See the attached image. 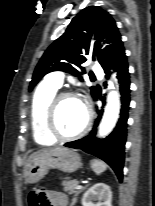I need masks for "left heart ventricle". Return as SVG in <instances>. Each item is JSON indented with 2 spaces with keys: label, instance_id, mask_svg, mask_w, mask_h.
<instances>
[{
  "label": "left heart ventricle",
  "instance_id": "1",
  "mask_svg": "<svg viewBox=\"0 0 155 206\" xmlns=\"http://www.w3.org/2000/svg\"><path fill=\"white\" fill-rule=\"evenodd\" d=\"M85 119V107L79 99L65 98L60 101L56 111V125L62 134L76 133L84 125Z\"/></svg>",
  "mask_w": 155,
  "mask_h": 206
}]
</instances>
